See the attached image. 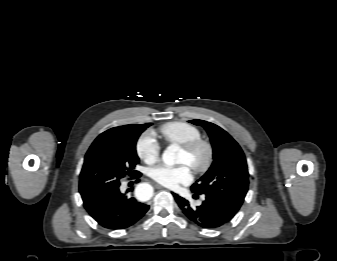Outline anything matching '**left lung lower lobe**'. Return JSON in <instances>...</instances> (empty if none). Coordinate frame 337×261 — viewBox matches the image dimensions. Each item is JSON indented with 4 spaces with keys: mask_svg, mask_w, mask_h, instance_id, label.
Returning <instances> with one entry per match:
<instances>
[{
    "mask_svg": "<svg viewBox=\"0 0 337 261\" xmlns=\"http://www.w3.org/2000/svg\"><path fill=\"white\" fill-rule=\"evenodd\" d=\"M173 195L184 215L205 229L219 228L229 223L236 214L227 205L209 196H205L202 205L192 208L187 200L175 193Z\"/></svg>",
    "mask_w": 337,
    "mask_h": 261,
    "instance_id": "obj_1",
    "label": "left lung lower lobe"
}]
</instances>
